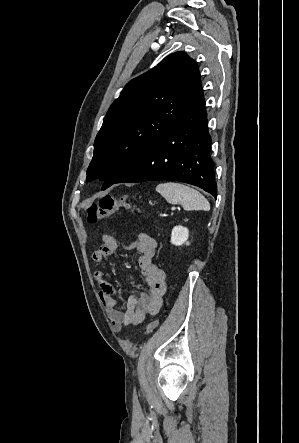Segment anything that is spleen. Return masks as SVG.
Returning <instances> with one entry per match:
<instances>
[{
	"label": "spleen",
	"mask_w": 299,
	"mask_h": 443,
	"mask_svg": "<svg viewBox=\"0 0 299 443\" xmlns=\"http://www.w3.org/2000/svg\"><path fill=\"white\" fill-rule=\"evenodd\" d=\"M156 191L170 204H180L185 210L209 211L208 200L197 190L189 186L167 182L158 184Z\"/></svg>",
	"instance_id": "1"
}]
</instances>
